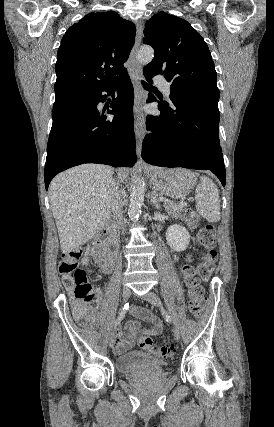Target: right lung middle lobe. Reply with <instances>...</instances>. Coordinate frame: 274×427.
Masks as SVG:
<instances>
[{
    "mask_svg": "<svg viewBox=\"0 0 274 427\" xmlns=\"http://www.w3.org/2000/svg\"><path fill=\"white\" fill-rule=\"evenodd\" d=\"M84 97H86V96H84ZM79 98H83V97H78V98H75V99H73V100H76V99H79ZM73 100H71V101H73ZM71 101H69V102H71Z\"/></svg>",
    "mask_w": 274,
    "mask_h": 427,
    "instance_id": "dd1d6c3e",
    "label": "right lung middle lobe"
}]
</instances>
